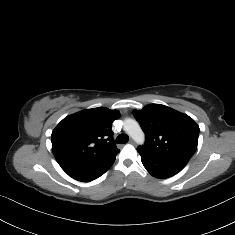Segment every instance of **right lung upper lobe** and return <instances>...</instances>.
Masks as SVG:
<instances>
[{"label": "right lung upper lobe", "instance_id": "1", "mask_svg": "<svg viewBox=\"0 0 235 235\" xmlns=\"http://www.w3.org/2000/svg\"><path fill=\"white\" fill-rule=\"evenodd\" d=\"M117 110L99 107L64 118L51 135L52 151L62 168L96 169L112 165L119 149L111 125Z\"/></svg>", "mask_w": 235, "mask_h": 235}]
</instances>
